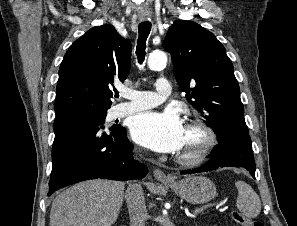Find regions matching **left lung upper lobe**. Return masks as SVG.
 I'll return each instance as SVG.
<instances>
[{
  "label": "left lung upper lobe",
  "instance_id": "5c2ea615",
  "mask_svg": "<svg viewBox=\"0 0 297 226\" xmlns=\"http://www.w3.org/2000/svg\"><path fill=\"white\" fill-rule=\"evenodd\" d=\"M162 46L172 56L181 90L217 138L248 137L233 64L214 34L195 22L178 20Z\"/></svg>",
  "mask_w": 297,
  "mask_h": 226
}]
</instances>
